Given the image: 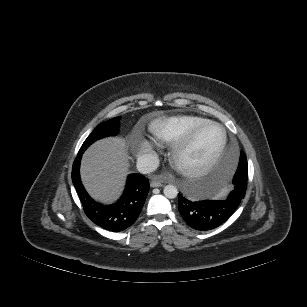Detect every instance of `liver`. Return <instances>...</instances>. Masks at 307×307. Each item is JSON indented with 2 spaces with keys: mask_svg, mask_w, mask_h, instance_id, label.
I'll return each instance as SVG.
<instances>
[{
  "mask_svg": "<svg viewBox=\"0 0 307 307\" xmlns=\"http://www.w3.org/2000/svg\"><path fill=\"white\" fill-rule=\"evenodd\" d=\"M130 156L124 139L107 138L94 143L83 155L80 174L88 193L103 203L121 194Z\"/></svg>",
  "mask_w": 307,
  "mask_h": 307,
  "instance_id": "6515ba94",
  "label": "liver"
}]
</instances>
